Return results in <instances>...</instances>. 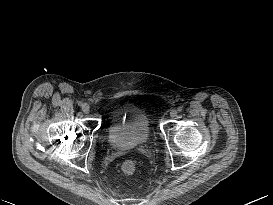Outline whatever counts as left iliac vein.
I'll use <instances>...</instances> for the list:
<instances>
[{
	"label": "left iliac vein",
	"instance_id": "1",
	"mask_svg": "<svg viewBox=\"0 0 273 205\" xmlns=\"http://www.w3.org/2000/svg\"><path fill=\"white\" fill-rule=\"evenodd\" d=\"M170 116H171L172 118H175V117L177 116V110L172 109V110L170 111Z\"/></svg>",
	"mask_w": 273,
	"mask_h": 205
}]
</instances>
